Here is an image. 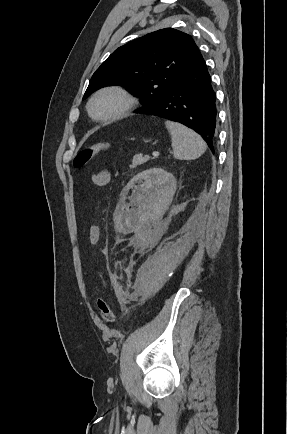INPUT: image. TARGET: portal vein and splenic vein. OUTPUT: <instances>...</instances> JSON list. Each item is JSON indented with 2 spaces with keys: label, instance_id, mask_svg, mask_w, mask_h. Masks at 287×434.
<instances>
[{
  "label": "portal vein and splenic vein",
  "instance_id": "1",
  "mask_svg": "<svg viewBox=\"0 0 287 434\" xmlns=\"http://www.w3.org/2000/svg\"><path fill=\"white\" fill-rule=\"evenodd\" d=\"M152 156H153V157H158V156H159V152H157V151L153 152V153H152Z\"/></svg>",
  "mask_w": 287,
  "mask_h": 434
}]
</instances>
